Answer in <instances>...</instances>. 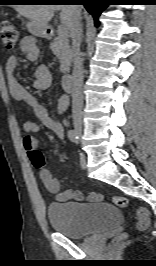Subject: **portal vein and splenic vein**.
Listing matches in <instances>:
<instances>
[{
  "mask_svg": "<svg viewBox=\"0 0 156 266\" xmlns=\"http://www.w3.org/2000/svg\"><path fill=\"white\" fill-rule=\"evenodd\" d=\"M67 35V29L64 25L58 26V36L65 37Z\"/></svg>",
  "mask_w": 156,
  "mask_h": 266,
  "instance_id": "18ae733b",
  "label": "portal vein and splenic vein"
}]
</instances>
